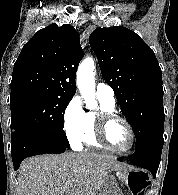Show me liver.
I'll use <instances>...</instances> for the list:
<instances>
[{
  "mask_svg": "<svg viewBox=\"0 0 178 195\" xmlns=\"http://www.w3.org/2000/svg\"><path fill=\"white\" fill-rule=\"evenodd\" d=\"M118 169L127 165L90 152L34 156L20 166L17 195H97L108 173Z\"/></svg>",
  "mask_w": 178,
  "mask_h": 195,
  "instance_id": "liver-1",
  "label": "liver"
}]
</instances>
